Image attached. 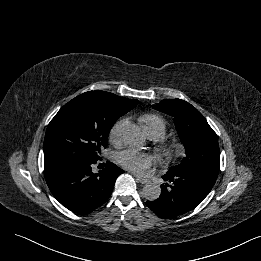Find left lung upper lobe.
I'll return each instance as SVG.
<instances>
[{
	"mask_svg": "<svg viewBox=\"0 0 261 261\" xmlns=\"http://www.w3.org/2000/svg\"><path fill=\"white\" fill-rule=\"evenodd\" d=\"M153 108L174 117L176 130L186 149V157L168 172L196 168L218 175V138L203 115L181 99L162 100L158 105H153Z\"/></svg>",
	"mask_w": 261,
	"mask_h": 261,
	"instance_id": "obj_1",
	"label": "left lung upper lobe"
}]
</instances>
